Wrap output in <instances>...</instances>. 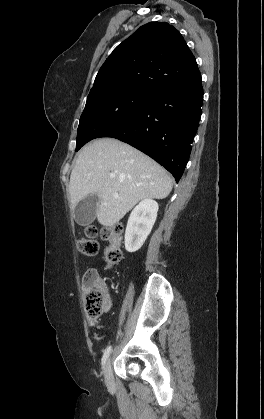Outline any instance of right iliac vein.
Instances as JSON below:
<instances>
[{"label": "right iliac vein", "instance_id": "obj_1", "mask_svg": "<svg viewBox=\"0 0 264 419\" xmlns=\"http://www.w3.org/2000/svg\"><path fill=\"white\" fill-rule=\"evenodd\" d=\"M105 381L107 385H112L113 383V374H112V367H111V360L108 359L105 364Z\"/></svg>", "mask_w": 264, "mask_h": 419}]
</instances>
